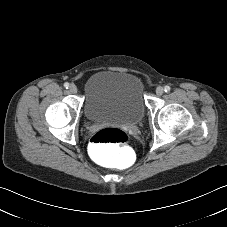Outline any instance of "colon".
<instances>
[{"mask_svg": "<svg viewBox=\"0 0 227 227\" xmlns=\"http://www.w3.org/2000/svg\"><path fill=\"white\" fill-rule=\"evenodd\" d=\"M128 134L120 129L107 128L98 131L91 139V150L105 166L123 165L126 162Z\"/></svg>", "mask_w": 227, "mask_h": 227, "instance_id": "1", "label": "colon"}]
</instances>
